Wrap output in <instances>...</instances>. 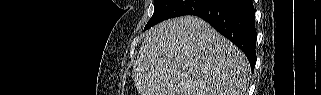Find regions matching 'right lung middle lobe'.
Segmentation results:
<instances>
[{"label":"right lung middle lobe","instance_id":"1","mask_svg":"<svg viewBox=\"0 0 321 95\" xmlns=\"http://www.w3.org/2000/svg\"><path fill=\"white\" fill-rule=\"evenodd\" d=\"M210 0H154V13L144 30L157 23L183 15H189Z\"/></svg>","mask_w":321,"mask_h":95}]
</instances>
